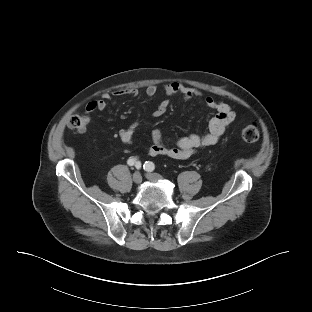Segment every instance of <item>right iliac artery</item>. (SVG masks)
<instances>
[{"mask_svg": "<svg viewBox=\"0 0 312 312\" xmlns=\"http://www.w3.org/2000/svg\"><path fill=\"white\" fill-rule=\"evenodd\" d=\"M127 164L129 166H134L137 168V169H140L141 168V163L139 161H137L136 159L134 158H129L128 161H127Z\"/></svg>", "mask_w": 312, "mask_h": 312, "instance_id": "obj_1", "label": "right iliac artery"}]
</instances>
